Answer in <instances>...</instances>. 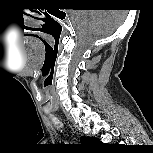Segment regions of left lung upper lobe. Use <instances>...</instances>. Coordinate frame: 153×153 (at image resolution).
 Segmentation results:
<instances>
[{
  "label": "left lung upper lobe",
  "instance_id": "left-lung-upper-lobe-1",
  "mask_svg": "<svg viewBox=\"0 0 153 153\" xmlns=\"http://www.w3.org/2000/svg\"><path fill=\"white\" fill-rule=\"evenodd\" d=\"M81 142L83 145L85 146H89V147H98V146H102L103 143L100 142L98 139L96 138H82Z\"/></svg>",
  "mask_w": 153,
  "mask_h": 153
}]
</instances>
